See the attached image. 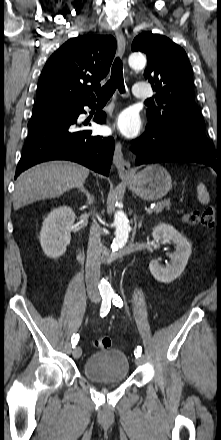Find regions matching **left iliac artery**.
<instances>
[{
  "label": "left iliac artery",
  "mask_w": 221,
  "mask_h": 440,
  "mask_svg": "<svg viewBox=\"0 0 221 440\" xmlns=\"http://www.w3.org/2000/svg\"><path fill=\"white\" fill-rule=\"evenodd\" d=\"M110 299H112V302L116 307L121 308L123 306V301L120 298V296H118L117 294L110 295ZM141 353H142V348L138 346L137 349L134 351V355L137 358L141 356Z\"/></svg>",
  "instance_id": "1"
}]
</instances>
